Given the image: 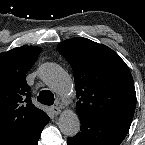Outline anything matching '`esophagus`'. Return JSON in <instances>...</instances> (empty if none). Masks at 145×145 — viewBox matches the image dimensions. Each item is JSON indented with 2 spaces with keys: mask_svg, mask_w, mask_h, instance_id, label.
Masks as SVG:
<instances>
[{
  "mask_svg": "<svg viewBox=\"0 0 145 145\" xmlns=\"http://www.w3.org/2000/svg\"><path fill=\"white\" fill-rule=\"evenodd\" d=\"M51 109L54 115H58L61 112V109L57 106H53Z\"/></svg>",
  "mask_w": 145,
  "mask_h": 145,
  "instance_id": "esophagus-1",
  "label": "esophagus"
}]
</instances>
